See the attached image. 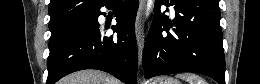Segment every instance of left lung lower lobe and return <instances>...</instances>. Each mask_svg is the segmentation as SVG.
<instances>
[{
    "label": "left lung lower lobe",
    "instance_id": "left-lung-lower-lobe-1",
    "mask_svg": "<svg viewBox=\"0 0 260 84\" xmlns=\"http://www.w3.org/2000/svg\"><path fill=\"white\" fill-rule=\"evenodd\" d=\"M163 3L155 2L154 20L144 46L145 77L195 72L225 84L218 0H166V6L174 5L173 22L160 12ZM168 25L174 28L169 31Z\"/></svg>",
    "mask_w": 260,
    "mask_h": 84
}]
</instances>
